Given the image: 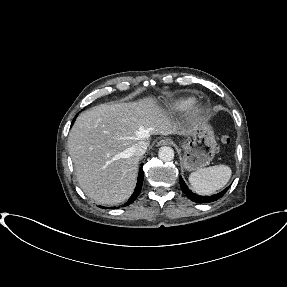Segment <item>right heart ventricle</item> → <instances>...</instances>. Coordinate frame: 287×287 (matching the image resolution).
<instances>
[{"mask_svg": "<svg viewBox=\"0 0 287 287\" xmlns=\"http://www.w3.org/2000/svg\"><path fill=\"white\" fill-rule=\"evenodd\" d=\"M194 102L195 101L193 98L181 99L173 103H170L168 109L169 111L188 109L194 104Z\"/></svg>", "mask_w": 287, "mask_h": 287, "instance_id": "1", "label": "right heart ventricle"}]
</instances>
